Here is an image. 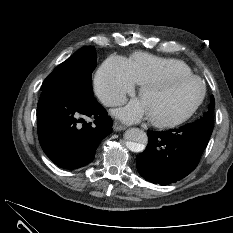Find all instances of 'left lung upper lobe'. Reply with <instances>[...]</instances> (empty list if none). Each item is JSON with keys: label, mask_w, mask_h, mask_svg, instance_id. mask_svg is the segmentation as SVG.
I'll return each instance as SVG.
<instances>
[{"label": "left lung upper lobe", "mask_w": 233, "mask_h": 233, "mask_svg": "<svg viewBox=\"0 0 233 233\" xmlns=\"http://www.w3.org/2000/svg\"><path fill=\"white\" fill-rule=\"evenodd\" d=\"M214 106H215L214 97L211 96V103H210V105L208 107V111L206 113H204L203 117H201L195 123L200 124V125H204V126L210 128V129H213V123H214L213 110H214Z\"/></svg>", "instance_id": "5c2ea615"}]
</instances>
